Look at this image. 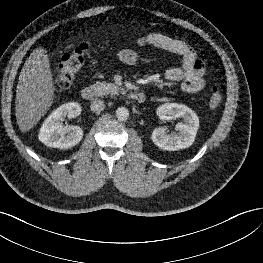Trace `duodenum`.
<instances>
[{"label":"duodenum","mask_w":263,"mask_h":263,"mask_svg":"<svg viewBox=\"0 0 263 263\" xmlns=\"http://www.w3.org/2000/svg\"><path fill=\"white\" fill-rule=\"evenodd\" d=\"M81 96L86 101H92L97 98L98 92L97 89L94 86H86L81 91ZM130 97L139 103H142L145 101L146 96L143 92L135 91L130 94Z\"/></svg>","instance_id":"obj_1"}]
</instances>
